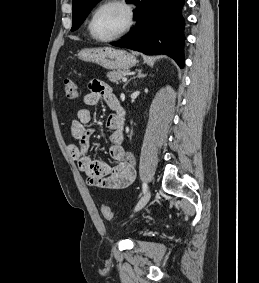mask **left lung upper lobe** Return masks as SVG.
<instances>
[{
  "mask_svg": "<svg viewBox=\"0 0 259 283\" xmlns=\"http://www.w3.org/2000/svg\"><path fill=\"white\" fill-rule=\"evenodd\" d=\"M99 1L100 0H72V31L76 30L81 25V23L85 20L92 7ZM126 1L133 2V0Z\"/></svg>",
  "mask_w": 259,
  "mask_h": 283,
  "instance_id": "5c2ea615",
  "label": "left lung upper lobe"
}]
</instances>
